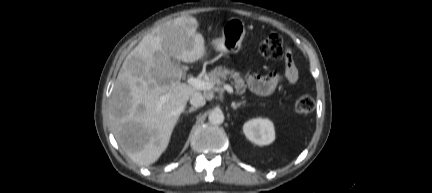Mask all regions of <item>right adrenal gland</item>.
Here are the masks:
<instances>
[{
  "instance_id": "2a0ac1e0",
  "label": "right adrenal gland",
  "mask_w": 432,
  "mask_h": 193,
  "mask_svg": "<svg viewBox=\"0 0 432 193\" xmlns=\"http://www.w3.org/2000/svg\"><path fill=\"white\" fill-rule=\"evenodd\" d=\"M196 110H197V107H190L188 110H185L184 112L190 114V113H192V112H194Z\"/></svg>"
}]
</instances>
